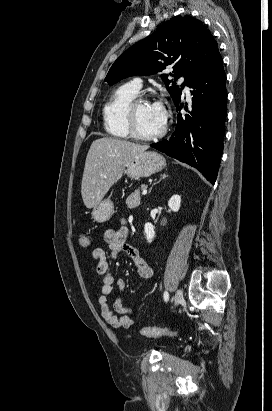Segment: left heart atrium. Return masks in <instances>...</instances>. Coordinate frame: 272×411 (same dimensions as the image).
I'll list each match as a JSON object with an SVG mask.
<instances>
[{
    "mask_svg": "<svg viewBox=\"0 0 272 411\" xmlns=\"http://www.w3.org/2000/svg\"><path fill=\"white\" fill-rule=\"evenodd\" d=\"M154 105V109L156 110L157 114L159 115V117L161 119L164 120L165 118V111H164V107L160 102H156L153 104Z\"/></svg>",
    "mask_w": 272,
    "mask_h": 411,
    "instance_id": "left-heart-atrium-1",
    "label": "left heart atrium"
}]
</instances>
